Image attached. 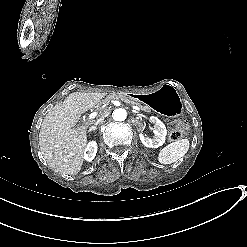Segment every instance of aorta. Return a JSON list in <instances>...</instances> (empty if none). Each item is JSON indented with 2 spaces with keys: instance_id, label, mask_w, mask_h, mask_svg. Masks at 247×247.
I'll list each match as a JSON object with an SVG mask.
<instances>
[{
  "instance_id": "obj_1",
  "label": "aorta",
  "mask_w": 247,
  "mask_h": 247,
  "mask_svg": "<svg viewBox=\"0 0 247 247\" xmlns=\"http://www.w3.org/2000/svg\"><path fill=\"white\" fill-rule=\"evenodd\" d=\"M112 117L116 121H124L127 117V112L123 108L115 109L112 113Z\"/></svg>"
}]
</instances>
